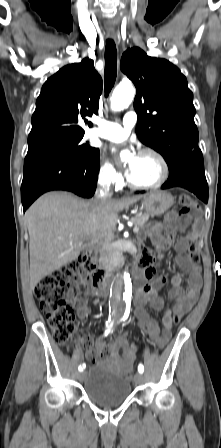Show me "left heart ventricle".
<instances>
[{"mask_svg": "<svg viewBox=\"0 0 221 448\" xmlns=\"http://www.w3.org/2000/svg\"><path fill=\"white\" fill-rule=\"evenodd\" d=\"M134 163V170L129 177L137 183L151 184L156 182L162 175V169L153 156H137L134 158Z\"/></svg>", "mask_w": 221, "mask_h": 448, "instance_id": "obj_1", "label": "left heart ventricle"}]
</instances>
